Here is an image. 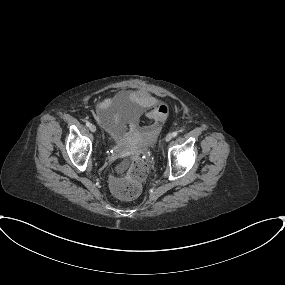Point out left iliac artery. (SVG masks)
I'll return each instance as SVG.
<instances>
[{"instance_id":"44dca946","label":"left iliac artery","mask_w":285,"mask_h":285,"mask_svg":"<svg viewBox=\"0 0 285 285\" xmlns=\"http://www.w3.org/2000/svg\"><path fill=\"white\" fill-rule=\"evenodd\" d=\"M177 135H178V132H177V131H175V132L172 133V136H173V137H176Z\"/></svg>"}]
</instances>
